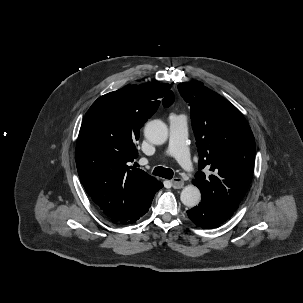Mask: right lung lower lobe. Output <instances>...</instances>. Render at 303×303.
Returning a JSON list of instances; mask_svg holds the SVG:
<instances>
[{
  "instance_id": "obj_1",
  "label": "right lung lower lobe",
  "mask_w": 303,
  "mask_h": 303,
  "mask_svg": "<svg viewBox=\"0 0 303 303\" xmlns=\"http://www.w3.org/2000/svg\"><path fill=\"white\" fill-rule=\"evenodd\" d=\"M162 187L163 184L159 182L156 187L149 191L134 208L130 209L119 217L111 218L112 221L119 225H129L136 222L140 217L148 212L154 194Z\"/></svg>"
}]
</instances>
